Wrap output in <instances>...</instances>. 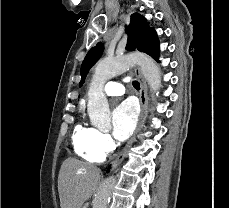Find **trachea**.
Masks as SVG:
<instances>
[{
	"mask_svg": "<svg viewBox=\"0 0 229 208\" xmlns=\"http://www.w3.org/2000/svg\"><path fill=\"white\" fill-rule=\"evenodd\" d=\"M132 85L134 88L139 89L140 88V83L137 82V80H133Z\"/></svg>",
	"mask_w": 229,
	"mask_h": 208,
	"instance_id": "3493384b",
	"label": "trachea"
}]
</instances>
